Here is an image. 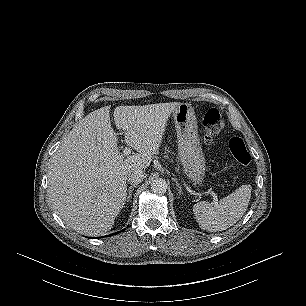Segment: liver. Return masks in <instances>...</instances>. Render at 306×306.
Returning <instances> with one entry per match:
<instances>
[{
    "mask_svg": "<svg viewBox=\"0 0 306 306\" xmlns=\"http://www.w3.org/2000/svg\"><path fill=\"white\" fill-rule=\"evenodd\" d=\"M181 103L118 106L113 112L125 143L137 153H119L110 107L85 116L62 141L48 173L54 210L73 230L89 235L109 231L127 196V175L146 169L159 151L168 118Z\"/></svg>",
    "mask_w": 306,
    "mask_h": 306,
    "instance_id": "liver-1",
    "label": "liver"
}]
</instances>
